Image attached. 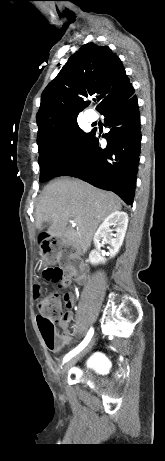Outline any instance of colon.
<instances>
[{
	"mask_svg": "<svg viewBox=\"0 0 165 461\" xmlns=\"http://www.w3.org/2000/svg\"><path fill=\"white\" fill-rule=\"evenodd\" d=\"M55 245L56 242L54 240L45 239L41 244L43 253L51 256ZM42 277L46 282L64 286L61 268L57 266H48L44 268ZM41 290L42 286L40 284L34 286V294L36 297L40 296ZM38 312L37 323L44 343L49 349H54L58 342L55 321L62 318L63 314L62 296L58 294H49L41 298L38 302Z\"/></svg>",
	"mask_w": 165,
	"mask_h": 461,
	"instance_id": "5ec220e1",
	"label": "colon"
}]
</instances>
